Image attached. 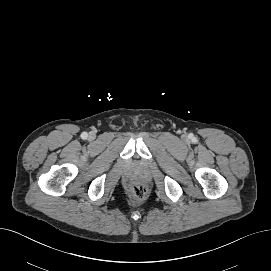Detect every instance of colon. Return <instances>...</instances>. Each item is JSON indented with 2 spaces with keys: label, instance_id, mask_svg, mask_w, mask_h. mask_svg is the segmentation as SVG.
I'll list each match as a JSON object with an SVG mask.
<instances>
[{
  "label": "colon",
  "instance_id": "1",
  "mask_svg": "<svg viewBox=\"0 0 271 271\" xmlns=\"http://www.w3.org/2000/svg\"><path fill=\"white\" fill-rule=\"evenodd\" d=\"M132 196L137 202H142L147 196V190L144 186L136 184L131 189Z\"/></svg>",
  "mask_w": 271,
  "mask_h": 271
}]
</instances>
